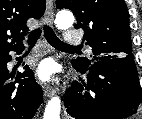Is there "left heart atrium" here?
I'll use <instances>...</instances> for the list:
<instances>
[{
	"instance_id": "obj_1",
	"label": "left heart atrium",
	"mask_w": 142,
	"mask_h": 119,
	"mask_svg": "<svg viewBox=\"0 0 142 119\" xmlns=\"http://www.w3.org/2000/svg\"><path fill=\"white\" fill-rule=\"evenodd\" d=\"M38 75L43 80H49L51 77V66L49 63L44 62L40 65Z\"/></svg>"
}]
</instances>
